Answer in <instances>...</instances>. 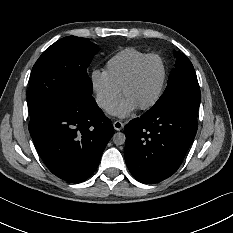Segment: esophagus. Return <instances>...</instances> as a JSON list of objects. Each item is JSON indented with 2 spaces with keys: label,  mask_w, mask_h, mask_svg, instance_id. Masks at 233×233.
<instances>
[{
  "label": "esophagus",
  "mask_w": 233,
  "mask_h": 233,
  "mask_svg": "<svg viewBox=\"0 0 233 233\" xmlns=\"http://www.w3.org/2000/svg\"><path fill=\"white\" fill-rule=\"evenodd\" d=\"M113 126L115 128L116 131H120L123 128V123L121 121H115L113 123Z\"/></svg>",
  "instance_id": "obj_1"
}]
</instances>
